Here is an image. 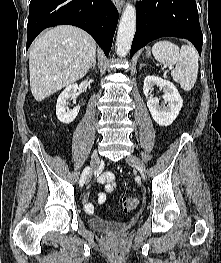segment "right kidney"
I'll return each instance as SVG.
<instances>
[{
  "label": "right kidney",
  "mask_w": 221,
  "mask_h": 263,
  "mask_svg": "<svg viewBox=\"0 0 221 263\" xmlns=\"http://www.w3.org/2000/svg\"><path fill=\"white\" fill-rule=\"evenodd\" d=\"M77 90V84L69 85L64 89V91H62L57 99L56 116L63 124H70L73 122L80 110L79 105L71 110L67 108L69 98L75 99Z\"/></svg>",
  "instance_id": "1"
}]
</instances>
